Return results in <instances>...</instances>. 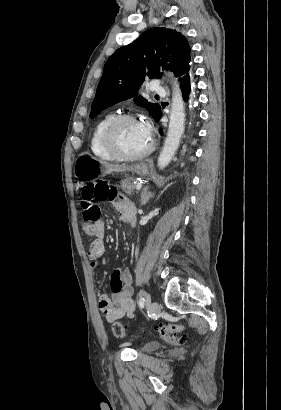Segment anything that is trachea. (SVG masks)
<instances>
[{
  "label": "trachea",
  "mask_w": 281,
  "mask_h": 410,
  "mask_svg": "<svg viewBox=\"0 0 281 410\" xmlns=\"http://www.w3.org/2000/svg\"><path fill=\"white\" fill-rule=\"evenodd\" d=\"M155 97H156V98H159V96H157V95H156Z\"/></svg>",
  "instance_id": "3493384b"
}]
</instances>
